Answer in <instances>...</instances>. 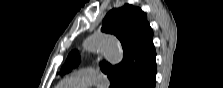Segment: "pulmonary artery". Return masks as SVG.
Instances as JSON below:
<instances>
[{
  "mask_svg": "<svg viewBox=\"0 0 223 88\" xmlns=\"http://www.w3.org/2000/svg\"><path fill=\"white\" fill-rule=\"evenodd\" d=\"M92 85L106 87L108 79L104 74L88 68L71 73L59 83L61 88H84Z\"/></svg>",
  "mask_w": 223,
  "mask_h": 88,
  "instance_id": "1",
  "label": "pulmonary artery"
}]
</instances>
